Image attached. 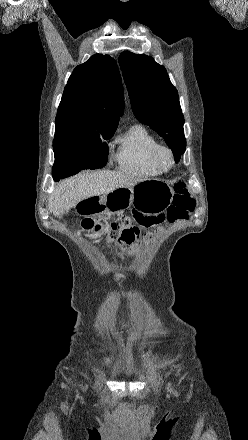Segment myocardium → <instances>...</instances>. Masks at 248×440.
I'll return each instance as SVG.
<instances>
[{
  "label": "myocardium",
  "mask_w": 248,
  "mask_h": 440,
  "mask_svg": "<svg viewBox=\"0 0 248 440\" xmlns=\"http://www.w3.org/2000/svg\"><path fill=\"white\" fill-rule=\"evenodd\" d=\"M164 154H166L169 157V164L168 165H164L162 162V156ZM151 161H152L153 165L160 172L170 171L176 163V159H175V155H174L173 150L170 147L164 146V145H158L156 148H154V150L151 153Z\"/></svg>",
  "instance_id": "f54148a6"
}]
</instances>
